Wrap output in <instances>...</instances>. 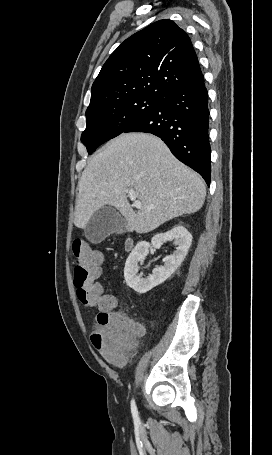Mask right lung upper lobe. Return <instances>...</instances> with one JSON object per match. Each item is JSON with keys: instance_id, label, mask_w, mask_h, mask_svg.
<instances>
[{"instance_id": "right-lung-upper-lobe-1", "label": "right lung upper lobe", "mask_w": 272, "mask_h": 455, "mask_svg": "<svg viewBox=\"0 0 272 455\" xmlns=\"http://www.w3.org/2000/svg\"><path fill=\"white\" fill-rule=\"evenodd\" d=\"M201 75L186 32L169 19L159 20L110 55L92 85L87 110L132 96L164 97Z\"/></svg>"}]
</instances>
